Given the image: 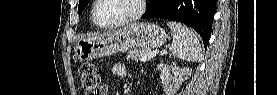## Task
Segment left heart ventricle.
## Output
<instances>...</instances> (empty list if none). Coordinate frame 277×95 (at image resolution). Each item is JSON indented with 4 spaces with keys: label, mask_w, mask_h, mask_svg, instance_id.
<instances>
[{
    "label": "left heart ventricle",
    "mask_w": 277,
    "mask_h": 95,
    "mask_svg": "<svg viewBox=\"0 0 277 95\" xmlns=\"http://www.w3.org/2000/svg\"><path fill=\"white\" fill-rule=\"evenodd\" d=\"M133 0H102L96 9V17L102 23L123 19L135 13Z\"/></svg>",
    "instance_id": "1"
}]
</instances>
